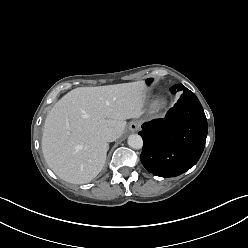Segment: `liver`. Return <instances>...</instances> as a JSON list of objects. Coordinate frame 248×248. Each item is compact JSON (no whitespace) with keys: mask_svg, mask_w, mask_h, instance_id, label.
<instances>
[{"mask_svg":"<svg viewBox=\"0 0 248 248\" xmlns=\"http://www.w3.org/2000/svg\"><path fill=\"white\" fill-rule=\"evenodd\" d=\"M143 81L98 87H80L63 96L46 117L42 152L61 179L84 184L103 169L108 143L101 133L113 128L120 137L126 120L143 113Z\"/></svg>","mask_w":248,"mask_h":248,"instance_id":"obj_1","label":"liver"}]
</instances>
